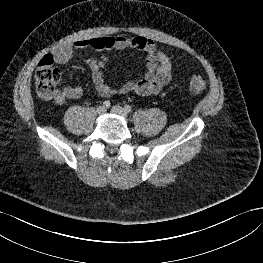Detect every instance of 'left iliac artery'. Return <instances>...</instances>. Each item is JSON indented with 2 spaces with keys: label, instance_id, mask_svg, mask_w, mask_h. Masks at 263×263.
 Wrapping results in <instances>:
<instances>
[{
  "label": "left iliac artery",
  "instance_id": "left-iliac-artery-1",
  "mask_svg": "<svg viewBox=\"0 0 263 263\" xmlns=\"http://www.w3.org/2000/svg\"><path fill=\"white\" fill-rule=\"evenodd\" d=\"M124 109H125L126 112H131L132 108H131L130 105H125Z\"/></svg>",
  "mask_w": 263,
  "mask_h": 263
}]
</instances>
